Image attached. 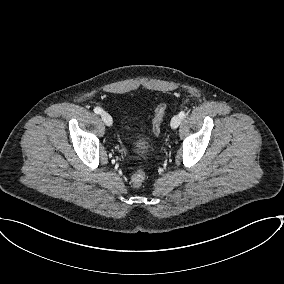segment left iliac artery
Returning a JSON list of instances; mask_svg holds the SVG:
<instances>
[{
	"label": "left iliac artery",
	"instance_id": "1",
	"mask_svg": "<svg viewBox=\"0 0 284 284\" xmlns=\"http://www.w3.org/2000/svg\"><path fill=\"white\" fill-rule=\"evenodd\" d=\"M185 115H186V113H185L184 111H181V112L179 113V117H180L181 119L184 118Z\"/></svg>",
	"mask_w": 284,
	"mask_h": 284
}]
</instances>
